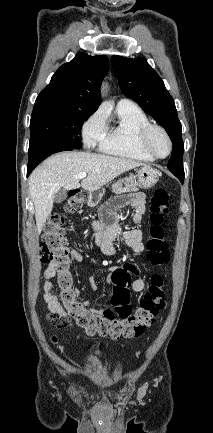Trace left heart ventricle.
<instances>
[{"mask_svg":"<svg viewBox=\"0 0 213 433\" xmlns=\"http://www.w3.org/2000/svg\"><path fill=\"white\" fill-rule=\"evenodd\" d=\"M151 145L154 148V150L160 155H166L169 150V144L166 138L159 131H155L152 133Z\"/></svg>","mask_w":213,"mask_h":433,"instance_id":"obj_1","label":"left heart ventricle"}]
</instances>
